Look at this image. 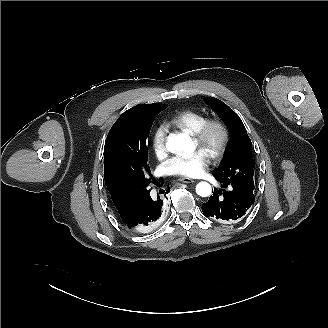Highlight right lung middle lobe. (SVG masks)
Wrapping results in <instances>:
<instances>
[{
	"mask_svg": "<svg viewBox=\"0 0 328 328\" xmlns=\"http://www.w3.org/2000/svg\"><path fill=\"white\" fill-rule=\"evenodd\" d=\"M166 107H133L109 131L104 147V179L128 198L142 200L150 193L149 184H155L147 162V138L155 117Z\"/></svg>",
	"mask_w": 328,
	"mask_h": 328,
	"instance_id": "right-lung-middle-lobe-1",
	"label": "right lung middle lobe"
}]
</instances>
